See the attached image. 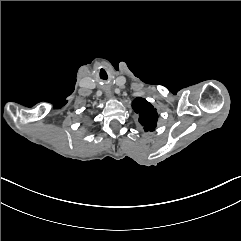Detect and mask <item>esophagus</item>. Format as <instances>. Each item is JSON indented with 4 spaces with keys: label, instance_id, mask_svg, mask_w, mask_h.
<instances>
[{
    "label": "esophagus",
    "instance_id": "esophagus-1",
    "mask_svg": "<svg viewBox=\"0 0 241 241\" xmlns=\"http://www.w3.org/2000/svg\"><path fill=\"white\" fill-rule=\"evenodd\" d=\"M107 97H109V98L113 97V92L112 91H108L107 92Z\"/></svg>",
    "mask_w": 241,
    "mask_h": 241
}]
</instances>
